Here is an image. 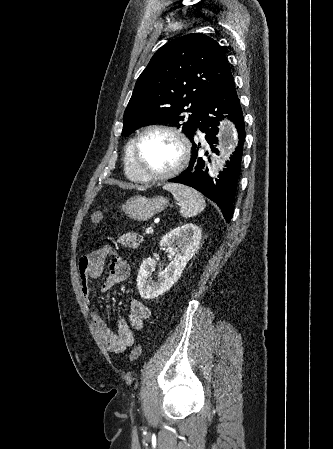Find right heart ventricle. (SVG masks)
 <instances>
[{
    "label": "right heart ventricle",
    "mask_w": 333,
    "mask_h": 449,
    "mask_svg": "<svg viewBox=\"0 0 333 449\" xmlns=\"http://www.w3.org/2000/svg\"><path fill=\"white\" fill-rule=\"evenodd\" d=\"M133 143L134 139L131 140L125 149L124 155V171L126 176L133 181H142L138 173L135 170L133 163Z\"/></svg>",
    "instance_id": "e07e8e85"
}]
</instances>
